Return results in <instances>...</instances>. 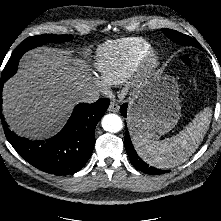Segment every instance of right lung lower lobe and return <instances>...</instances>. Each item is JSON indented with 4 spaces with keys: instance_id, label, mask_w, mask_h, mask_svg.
I'll list each match as a JSON object with an SVG mask.
<instances>
[{
    "instance_id": "obj_1",
    "label": "right lung lower lobe",
    "mask_w": 221,
    "mask_h": 221,
    "mask_svg": "<svg viewBox=\"0 0 221 221\" xmlns=\"http://www.w3.org/2000/svg\"><path fill=\"white\" fill-rule=\"evenodd\" d=\"M3 83L0 82V115ZM110 102L101 98L95 103L77 105L65 127L46 141L20 138L6 126L5 135L18 154L34 167L54 175L78 172L90 158L95 145V128Z\"/></svg>"
}]
</instances>
